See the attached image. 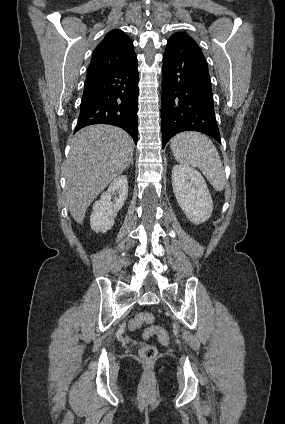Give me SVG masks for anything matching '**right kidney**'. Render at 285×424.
Listing matches in <instances>:
<instances>
[{
  "label": "right kidney",
  "mask_w": 285,
  "mask_h": 424,
  "mask_svg": "<svg viewBox=\"0 0 285 424\" xmlns=\"http://www.w3.org/2000/svg\"><path fill=\"white\" fill-rule=\"evenodd\" d=\"M112 194H118L112 201ZM128 196L127 177L121 175L115 178L107 191L103 192L100 200L93 205V212L90 216V225L96 233H106L110 230L117 216V212L123 207Z\"/></svg>",
  "instance_id": "right-kidney-1"
}]
</instances>
